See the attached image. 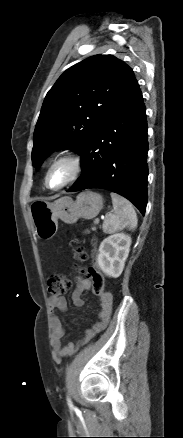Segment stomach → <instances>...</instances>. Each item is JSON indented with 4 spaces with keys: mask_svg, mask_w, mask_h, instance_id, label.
Here are the masks:
<instances>
[{
    "mask_svg": "<svg viewBox=\"0 0 183 438\" xmlns=\"http://www.w3.org/2000/svg\"><path fill=\"white\" fill-rule=\"evenodd\" d=\"M102 208V196L92 191H85L77 196L76 201L68 196L52 203L34 201L29 207V214L37 237L41 240H50L57 233L58 219L66 224H74L79 218L96 217Z\"/></svg>",
    "mask_w": 183,
    "mask_h": 438,
    "instance_id": "obj_1",
    "label": "stomach"
}]
</instances>
